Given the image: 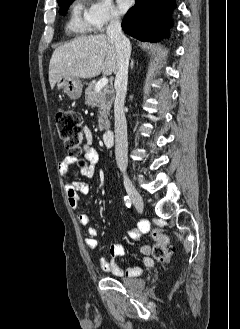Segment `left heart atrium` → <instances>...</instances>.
<instances>
[{
    "mask_svg": "<svg viewBox=\"0 0 240 329\" xmlns=\"http://www.w3.org/2000/svg\"><path fill=\"white\" fill-rule=\"evenodd\" d=\"M117 9L120 13H124L131 6L132 0H116Z\"/></svg>",
    "mask_w": 240,
    "mask_h": 329,
    "instance_id": "1",
    "label": "left heart atrium"
}]
</instances>
